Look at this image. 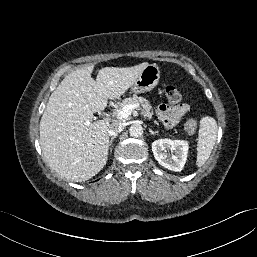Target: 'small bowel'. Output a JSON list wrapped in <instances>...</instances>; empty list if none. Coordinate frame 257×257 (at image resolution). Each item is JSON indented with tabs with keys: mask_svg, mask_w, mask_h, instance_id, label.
Segmentation results:
<instances>
[{
	"mask_svg": "<svg viewBox=\"0 0 257 257\" xmlns=\"http://www.w3.org/2000/svg\"><path fill=\"white\" fill-rule=\"evenodd\" d=\"M189 109V105L186 103H180L172 106L160 105L157 108V115L166 126L171 127L182 119Z\"/></svg>",
	"mask_w": 257,
	"mask_h": 257,
	"instance_id": "small-bowel-1",
	"label": "small bowel"
}]
</instances>
